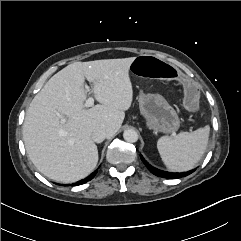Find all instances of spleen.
Instances as JSON below:
<instances>
[{
	"instance_id": "obj_1",
	"label": "spleen",
	"mask_w": 241,
	"mask_h": 241,
	"mask_svg": "<svg viewBox=\"0 0 241 241\" xmlns=\"http://www.w3.org/2000/svg\"><path fill=\"white\" fill-rule=\"evenodd\" d=\"M210 127L206 125L193 132H180L175 138L162 136L157 149L166 167L173 172L194 168L207 148Z\"/></svg>"
}]
</instances>
